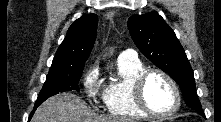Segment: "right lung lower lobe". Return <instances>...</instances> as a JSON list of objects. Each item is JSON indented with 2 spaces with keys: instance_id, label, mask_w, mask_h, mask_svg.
Listing matches in <instances>:
<instances>
[{
  "instance_id": "98d812e1",
  "label": "right lung lower lobe",
  "mask_w": 221,
  "mask_h": 122,
  "mask_svg": "<svg viewBox=\"0 0 221 122\" xmlns=\"http://www.w3.org/2000/svg\"><path fill=\"white\" fill-rule=\"evenodd\" d=\"M39 105H40V104H35L34 110L31 112V115H30V117H29V120L31 119L32 115L34 114L36 108H37Z\"/></svg>"
}]
</instances>
